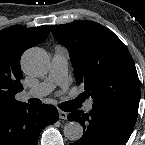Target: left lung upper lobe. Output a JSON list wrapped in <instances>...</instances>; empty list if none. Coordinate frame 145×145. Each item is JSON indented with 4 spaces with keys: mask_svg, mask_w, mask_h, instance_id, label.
Returning a JSON list of instances; mask_svg holds the SVG:
<instances>
[{
    "mask_svg": "<svg viewBox=\"0 0 145 145\" xmlns=\"http://www.w3.org/2000/svg\"><path fill=\"white\" fill-rule=\"evenodd\" d=\"M54 37L69 51L75 79L85 86L93 104L140 100V85L125 44L108 28L92 21L52 25Z\"/></svg>",
    "mask_w": 145,
    "mask_h": 145,
    "instance_id": "1",
    "label": "left lung upper lobe"
}]
</instances>
